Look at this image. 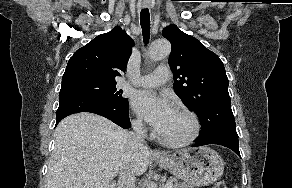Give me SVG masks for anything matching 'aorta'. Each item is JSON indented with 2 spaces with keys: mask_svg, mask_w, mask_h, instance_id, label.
Masks as SVG:
<instances>
[{
  "mask_svg": "<svg viewBox=\"0 0 292 188\" xmlns=\"http://www.w3.org/2000/svg\"><path fill=\"white\" fill-rule=\"evenodd\" d=\"M171 52V45L165 39H159L154 41L149 48L148 55L153 61L161 60L167 57ZM147 188H157L156 184L151 182L148 184Z\"/></svg>",
  "mask_w": 292,
  "mask_h": 188,
  "instance_id": "762f6f07",
  "label": "aorta"
}]
</instances>
